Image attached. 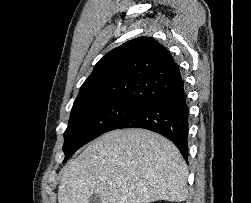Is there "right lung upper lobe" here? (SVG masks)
I'll return each mask as SVG.
<instances>
[{
    "mask_svg": "<svg viewBox=\"0 0 251 203\" xmlns=\"http://www.w3.org/2000/svg\"><path fill=\"white\" fill-rule=\"evenodd\" d=\"M183 84L169 51L150 37L111 50L82 84L74 105L123 102L144 106Z\"/></svg>",
    "mask_w": 251,
    "mask_h": 203,
    "instance_id": "right-lung-upper-lobe-1",
    "label": "right lung upper lobe"
}]
</instances>
